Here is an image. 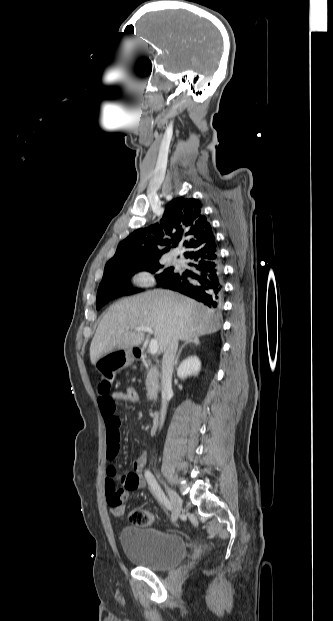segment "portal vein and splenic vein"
<instances>
[{
    "label": "portal vein and splenic vein",
    "instance_id": "obj_1",
    "mask_svg": "<svg viewBox=\"0 0 333 621\" xmlns=\"http://www.w3.org/2000/svg\"><path fill=\"white\" fill-rule=\"evenodd\" d=\"M135 331H142V332H148L150 334H153V329L149 326H138L135 327ZM158 340L156 338H153L150 340L149 343V352L151 354H156L158 351Z\"/></svg>",
    "mask_w": 333,
    "mask_h": 621
}]
</instances>
